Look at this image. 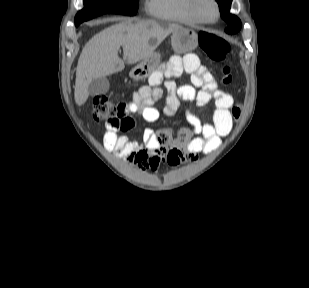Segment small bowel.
Returning a JSON list of instances; mask_svg holds the SVG:
<instances>
[{
    "label": "small bowel",
    "mask_w": 309,
    "mask_h": 288,
    "mask_svg": "<svg viewBox=\"0 0 309 288\" xmlns=\"http://www.w3.org/2000/svg\"><path fill=\"white\" fill-rule=\"evenodd\" d=\"M183 72L190 75L191 84L177 86L172 80L165 81L167 97L162 112L154 106L163 95L161 74L153 76L149 85L139 87L132 94L131 101L122 105L128 114L139 113L144 121L153 123L160 118L161 113L167 117L174 116L181 100L195 102L200 107L212 103L214 111L210 121L200 123L188 109L187 119L193 126V132L182 128L173 138L168 131L147 128L142 139L137 141L126 135H118L120 131L131 129L134 123L109 120L105 124L103 138L108 151L117 153L143 171H157L162 163L175 169L186 160L194 162L200 154H209L220 147L222 138L232 130L234 99L217 88L213 75L195 54L174 55L164 67L166 77L178 76Z\"/></svg>",
    "instance_id": "1"
}]
</instances>
